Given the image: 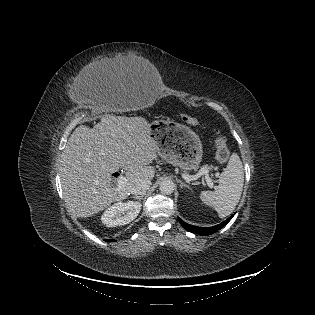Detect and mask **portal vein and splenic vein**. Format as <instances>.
I'll list each match as a JSON object with an SVG mask.
<instances>
[{
    "instance_id": "obj_1",
    "label": "portal vein and splenic vein",
    "mask_w": 315,
    "mask_h": 315,
    "mask_svg": "<svg viewBox=\"0 0 315 315\" xmlns=\"http://www.w3.org/2000/svg\"><path fill=\"white\" fill-rule=\"evenodd\" d=\"M209 171L208 170H205L203 168H201L197 174L195 175H192V176H189V175H185L183 174L182 175V178L184 180H186L187 182H191V181H194V180H197L198 178H200L201 176H204L205 177V180H206V183L207 185L210 187V188H213L214 187V184L212 182V179L209 177ZM118 185L117 187L115 188V192H118L120 191V189H122L124 187V185L126 184L127 182V179L125 176L121 175L118 180Z\"/></svg>"
}]
</instances>
